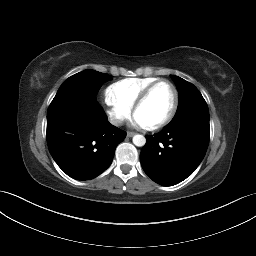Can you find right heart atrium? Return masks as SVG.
<instances>
[{
    "label": "right heart atrium",
    "instance_id": "right-heart-atrium-1",
    "mask_svg": "<svg viewBox=\"0 0 256 256\" xmlns=\"http://www.w3.org/2000/svg\"><path fill=\"white\" fill-rule=\"evenodd\" d=\"M106 103V114L110 122L115 126H121L131 115V109L121 104L111 102L107 97Z\"/></svg>",
    "mask_w": 256,
    "mask_h": 256
}]
</instances>
